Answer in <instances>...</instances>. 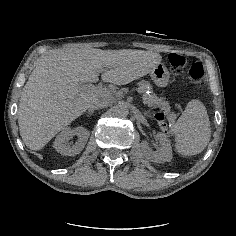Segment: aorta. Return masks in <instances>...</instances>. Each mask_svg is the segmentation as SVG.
<instances>
[{
  "instance_id": "obj_1",
  "label": "aorta",
  "mask_w": 236,
  "mask_h": 236,
  "mask_svg": "<svg viewBox=\"0 0 236 236\" xmlns=\"http://www.w3.org/2000/svg\"><path fill=\"white\" fill-rule=\"evenodd\" d=\"M113 114L119 118H125L129 114L128 105L125 102H120L113 107Z\"/></svg>"
}]
</instances>
